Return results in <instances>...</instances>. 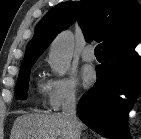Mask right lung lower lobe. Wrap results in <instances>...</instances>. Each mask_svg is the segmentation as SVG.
<instances>
[{"instance_id":"obj_1","label":"right lung lower lobe","mask_w":141,"mask_h":139,"mask_svg":"<svg viewBox=\"0 0 141 139\" xmlns=\"http://www.w3.org/2000/svg\"><path fill=\"white\" fill-rule=\"evenodd\" d=\"M140 40L141 32L103 49L97 82L79 101V118L104 137L130 139L127 116L141 90V57L134 51Z\"/></svg>"}]
</instances>
